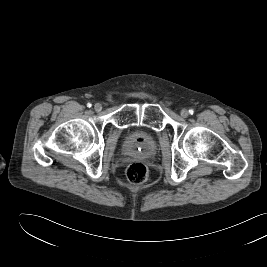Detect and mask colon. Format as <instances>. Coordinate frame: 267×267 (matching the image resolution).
Listing matches in <instances>:
<instances>
[{
  "instance_id": "colon-1",
  "label": "colon",
  "mask_w": 267,
  "mask_h": 267,
  "mask_svg": "<svg viewBox=\"0 0 267 267\" xmlns=\"http://www.w3.org/2000/svg\"><path fill=\"white\" fill-rule=\"evenodd\" d=\"M126 176L134 184L144 183L149 177V169L143 163H132L127 167Z\"/></svg>"
}]
</instances>
